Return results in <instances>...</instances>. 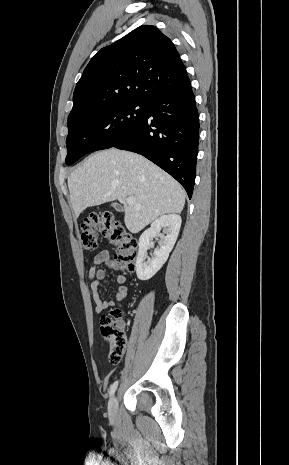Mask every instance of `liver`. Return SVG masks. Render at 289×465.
<instances>
[{
	"label": "liver",
	"mask_w": 289,
	"mask_h": 465,
	"mask_svg": "<svg viewBox=\"0 0 289 465\" xmlns=\"http://www.w3.org/2000/svg\"><path fill=\"white\" fill-rule=\"evenodd\" d=\"M70 200L78 218L86 208L118 200L131 233L161 215L181 213L185 192L170 175L141 155L111 148L89 156L68 177ZM134 197L128 204L126 199Z\"/></svg>",
	"instance_id": "obj_1"
}]
</instances>
